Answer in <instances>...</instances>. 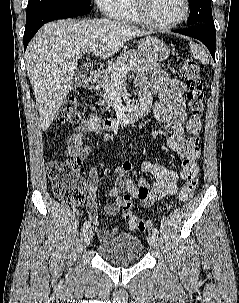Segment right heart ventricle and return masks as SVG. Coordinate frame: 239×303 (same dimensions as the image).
<instances>
[{
  "instance_id": "1",
  "label": "right heart ventricle",
  "mask_w": 239,
  "mask_h": 303,
  "mask_svg": "<svg viewBox=\"0 0 239 303\" xmlns=\"http://www.w3.org/2000/svg\"><path fill=\"white\" fill-rule=\"evenodd\" d=\"M115 19L131 23H140L134 12L132 0H125L123 11Z\"/></svg>"
}]
</instances>
